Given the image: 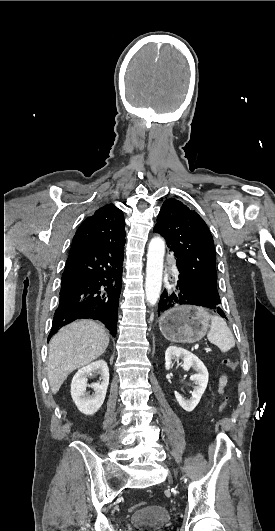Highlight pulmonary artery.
<instances>
[{
    "mask_svg": "<svg viewBox=\"0 0 275 531\" xmlns=\"http://www.w3.org/2000/svg\"><path fill=\"white\" fill-rule=\"evenodd\" d=\"M168 271H169V273L172 274V275L177 274L178 271H179L178 263H177L176 261H173V262L171 263V265L169 266Z\"/></svg>",
    "mask_w": 275,
    "mask_h": 531,
    "instance_id": "obj_1",
    "label": "pulmonary artery"
}]
</instances>
